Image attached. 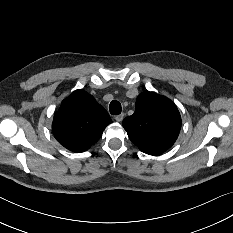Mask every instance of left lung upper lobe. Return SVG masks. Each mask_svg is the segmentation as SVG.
<instances>
[{"mask_svg":"<svg viewBox=\"0 0 233 233\" xmlns=\"http://www.w3.org/2000/svg\"><path fill=\"white\" fill-rule=\"evenodd\" d=\"M130 140L144 153L159 155L176 141L181 127L180 113L167 97L142 92L135 112L123 120Z\"/></svg>","mask_w":233,"mask_h":233,"instance_id":"1","label":"left lung upper lobe"}]
</instances>
